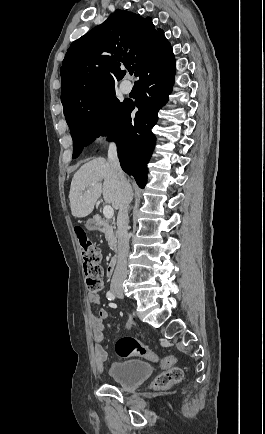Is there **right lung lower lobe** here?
Here are the masks:
<instances>
[{
	"label": "right lung lower lobe",
	"instance_id": "1",
	"mask_svg": "<svg viewBox=\"0 0 265 434\" xmlns=\"http://www.w3.org/2000/svg\"><path fill=\"white\" fill-rule=\"evenodd\" d=\"M175 60L172 49L160 57L149 60L139 76V97L131 102L121 124L110 134L118 145V156L123 170L133 175L144 188L147 178L146 164L155 145L151 132L157 122V112L165 105L174 83ZM139 111L132 123L131 112Z\"/></svg>",
	"mask_w": 265,
	"mask_h": 434
}]
</instances>
